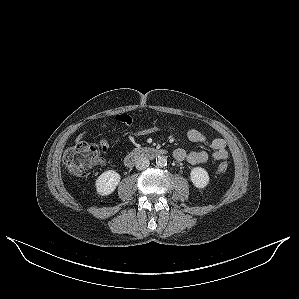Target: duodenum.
<instances>
[{"label": "duodenum", "mask_w": 299, "mask_h": 299, "mask_svg": "<svg viewBox=\"0 0 299 299\" xmlns=\"http://www.w3.org/2000/svg\"><path fill=\"white\" fill-rule=\"evenodd\" d=\"M167 151L165 149L145 147L138 148L130 152L125 159V164L128 167H132L139 159H153L162 155H165Z\"/></svg>", "instance_id": "duodenum-1"}]
</instances>
